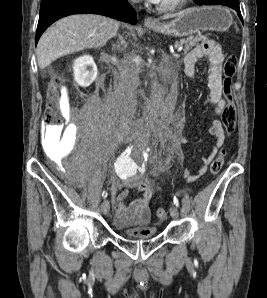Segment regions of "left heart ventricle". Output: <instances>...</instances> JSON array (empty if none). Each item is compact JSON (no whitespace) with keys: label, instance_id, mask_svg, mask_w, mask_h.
I'll return each mask as SVG.
<instances>
[{"label":"left heart ventricle","instance_id":"left-heart-ventricle-1","mask_svg":"<svg viewBox=\"0 0 267 298\" xmlns=\"http://www.w3.org/2000/svg\"><path fill=\"white\" fill-rule=\"evenodd\" d=\"M173 1H175V0H161L159 3L160 4H168V3H171Z\"/></svg>","mask_w":267,"mask_h":298}]
</instances>
